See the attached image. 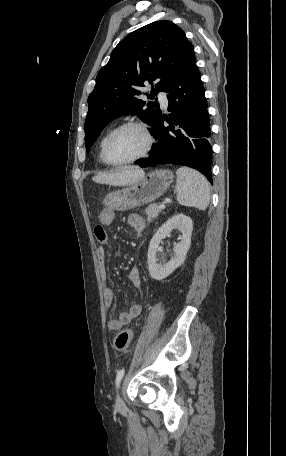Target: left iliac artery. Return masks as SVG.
<instances>
[{
  "label": "left iliac artery",
  "instance_id": "1",
  "mask_svg": "<svg viewBox=\"0 0 286 456\" xmlns=\"http://www.w3.org/2000/svg\"><path fill=\"white\" fill-rule=\"evenodd\" d=\"M124 373H125V369H120L118 372H117V375H116V387L118 388L120 383H121V380L124 376Z\"/></svg>",
  "mask_w": 286,
  "mask_h": 456
}]
</instances>
